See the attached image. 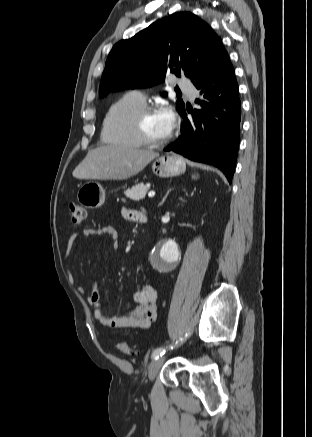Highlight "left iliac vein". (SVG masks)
<instances>
[{"mask_svg":"<svg viewBox=\"0 0 312 437\" xmlns=\"http://www.w3.org/2000/svg\"><path fill=\"white\" fill-rule=\"evenodd\" d=\"M164 362L163 357H159L158 359L153 360L148 368V377L150 380H154L156 375L158 374L162 364Z\"/></svg>","mask_w":312,"mask_h":437,"instance_id":"4c4485c4","label":"left iliac vein"}]
</instances>
